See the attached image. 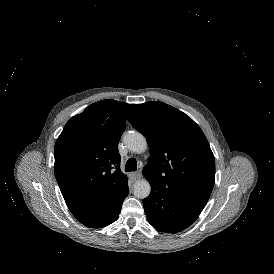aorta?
I'll return each mask as SVG.
<instances>
[{
    "instance_id": "1",
    "label": "aorta",
    "mask_w": 274,
    "mask_h": 274,
    "mask_svg": "<svg viewBox=\"0 0 274 274\" xmlns=\"http://www.w3.org/2000/svg\"><path fill=\"white\" fill-rule=\"evenodd\" d=\"M126 147L134 153H143L147 148L146 138L137 131H129L123 136ZM151 191L150 183L146 179L138 180L133 185V193L137 198L144 199Z\"/></svg>"
}]
</instances>
